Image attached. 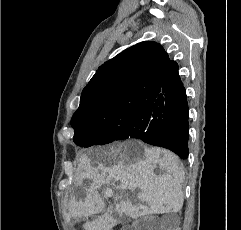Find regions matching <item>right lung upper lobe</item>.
<instances>
[{
    "label": "right lung upper lobe",
    "mask_w": 241,
    "mask_h": 230,
    "mask_svg": "<svg viewBox=\"0 0 241 230\" xmlns=\"http://www.w3.org/2000/svg\"><path fill=\"white\" fill-rule=\"evenodd\" d=\"M173 62L156 42L138 43L105 62L83 89L72 127L82 121L104 120L115 109L153 102Z\"/></svg>",
    "instance_id": "right-lung-upper-lobe-1"
}]
</instances>
